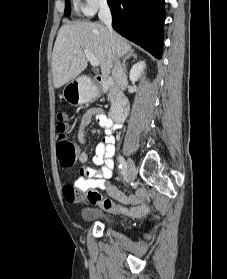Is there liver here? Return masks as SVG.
<instances>
[{
  "instance_id": "liver-1",
  "label": "liver",
  "mask_w": 227,
  "mask_h": 279,
  "mask_svg": "<svg viewBox=\"0 0 227 279\" xmlns=\"http://www.w3.org/2000/svg\"><path fill=\"white\" fill-rule=\"evenodd\" d=\"M84 49L100 62L101 72L108 77L114 61L126 55L130 44L118 33L112 38L102 23L75 21L64 24L58 31L52 54V73L55 88L76 78L87 67Z\"/></svg>"
}]
</instances>
